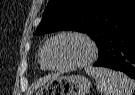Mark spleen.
<instances>
[{
    "mask_svg": "<svg viewBox=\"0 0 135 95\" xmlns=\"http://www.w3.org/2000/svg\"><path fill=\"white\" fill-rule=\"evenodd\" d=\"M85 72L95 79L101 95H132L135 89V82L121 72L91 66Z\"/></svg>",
    "mask_w": 135,
    "mask_h": 95,
    "instance_id": "1",
    "label": "spleen"
}]
</instances>
